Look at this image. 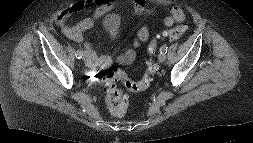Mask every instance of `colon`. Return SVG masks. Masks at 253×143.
I'll return each mask as SVG.
<instances>
[{
  "label": "colon",
  "mask_w": 253,
  "mask_h": 143,
  "mask_svg": "<svg viewBox=\"0 0 253 143\" xmlns=\"http://www.w3.org/2000/svg\"><path fill=\"white\" fill-rule=\"evenodd\" d=\"M186 31V27H175L158 34L148 45L147 52L149 61L146 70L139 81L130 80L124 71L120 69L107 70L102 74V80L107 85L106 101L109 111L116 117L125 115L128 109V97L126 91L141 92L146 90L152 84L153 78L158 71L155 62V55L158 47V40L169 38L170 40L180 39ZM131 61V57L123 58V63Z\"/></svg>",
  "instance_id": "obj_1"
}]
</instances>
